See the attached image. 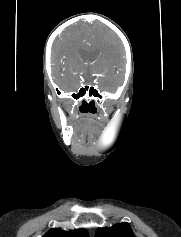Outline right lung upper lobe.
<instances>
[{
    "mask_svg": "<svg viewBox=\"0 0 181 237\" xmlns=\"http://www.w3.org/2000/svg\"><path fill=\"white\" fill-rule=\"evenodd\" d=\"M43 237H89V235L85 229L64 231L61 228H52Z\"/></svg>",
    "mask_w": 181,
    "mask_h": 237,
    "instance_id": "cb5924a9",
    "label": "right lung upper lobe"
}]
</instances>
